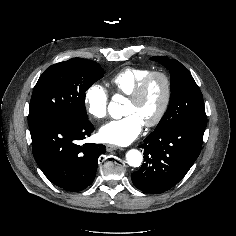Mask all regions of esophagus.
I'll list each match as a JSON object with an SVG mask.
<instances>
[{
	"label": "esophagus",
	"mask_w": 236,
	"mask_h": 236,
	"mask_svg": "<svg viewBox=\"0 0 236 236\" xmlns=\"http://www.w3.org/2000/svg\"><path fill=\"white\" fill-rule=\"evenodd\" d=\"M117 149H121V148L118 147V146H116V145H112V144H107V145H106V150H107L108 152H111V151L117 150Z\"/></svg>",
	"instance_id": "34e87169"
}]
</instances>
